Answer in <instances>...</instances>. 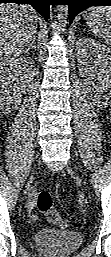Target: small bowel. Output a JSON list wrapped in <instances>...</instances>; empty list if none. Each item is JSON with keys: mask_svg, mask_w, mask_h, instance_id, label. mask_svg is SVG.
<instances>
[{"mask_svg": "<svg viewBox=\"0 0 111 257\" xmlns=\"http://www.w3.org/2000/svg\"><path fill=\"white\" fill-rule=\"evenodd\" d=\"M33 202H30L29 203V207H28V210H29V213H30V218L32 219V220H35L36 219V216L34 215V214H32V210H33Z\"/></svg>", "mask_w": 111, "mask_h": 257, "instance_id": "1", "label": "small bowel"}]
</instances>
